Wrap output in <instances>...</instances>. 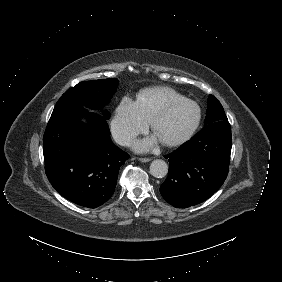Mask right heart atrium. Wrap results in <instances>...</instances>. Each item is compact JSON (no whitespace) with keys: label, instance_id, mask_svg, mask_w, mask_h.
<instances>
[{"label":"right heart atrium","instance_id":"right-heart-atrium-1","mask_svg":"<svg viewBox=\"0 0 282 282\" xmlns=\"http://www.w3.org/2000/svg\"><path fill=\"white\" fill-rule=\"evenodd\" d=\"M150 120L137 101L125 97L116 109L111 131L117 141L129 144L138 134L147 131Z\"/></svg>","mask_w":282,"mask_h":282}]
</instances>
